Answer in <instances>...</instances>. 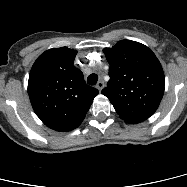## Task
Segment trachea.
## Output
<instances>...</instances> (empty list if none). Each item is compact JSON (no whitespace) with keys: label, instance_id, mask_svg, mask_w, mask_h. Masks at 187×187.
I'll return each mask as SVG.
<instances>
[{"label":"trachea","instance_id":"obj_1","mask_svg":"<svg viewBox=\"0 0 187 187\" xmlns=\"http://www.w3.org/2000/svg\"><path fill=\"white\" fill-rule=\"evenodd\" d=\"M98 81V76L96 74H91L87 78V83L89 85H95Z\"/></svg>","mask_w":187,"mask_h":187}]
</instances>
